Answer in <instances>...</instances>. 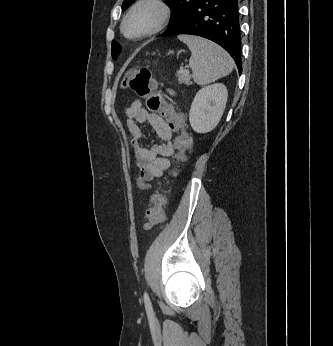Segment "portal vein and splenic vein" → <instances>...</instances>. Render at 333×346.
Listing matches in <instances>:
<instances>
[{
  "mask_svg": "<svg viewBox=\"0 0 333 346\" xmlns=\"http://www.w3.org/2000/svg\"><path fill=\"white\" fill-rule=\"evenodd\" d=\"M181 70H182L183 73L189 74V71H188V70H186V69H181Z\"/></svg>",
  "mask_w": 333,
  "mask_h": 346,
  "instance_id": "portal-vein-and-splenic-vein-1",
  "label": "portal vein and splenic vein"
}]
</instances>
